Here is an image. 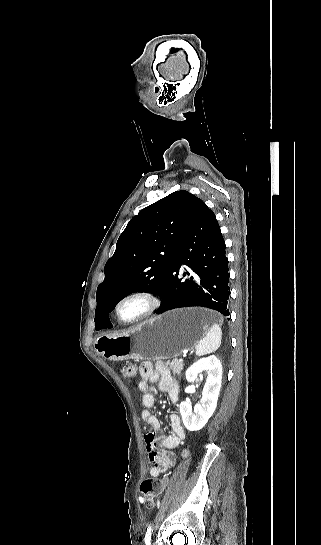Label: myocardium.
Returning <instances> with one entry per match:
<instances>
[{
    "label": "myocardium",
    "mask_w": 321,
    "mask_h": 545,
    "mask_svg": "<svg viewBox=\"0 0 321 545\" xmlns=\"http://www.w3.org/2000/svg\"><path fill=\"white\" fill-rule=\"evenodd\" d=\"M130 302L143 304L142 312L134 318L126 319L121 316V307ZM162 305L160 297L151 290L137 289L123 294L115 304V316L119 322L125 325H136L154 316Z\"/></svg>",
    "instance_id": "f54148a6"
}]
</instances>
